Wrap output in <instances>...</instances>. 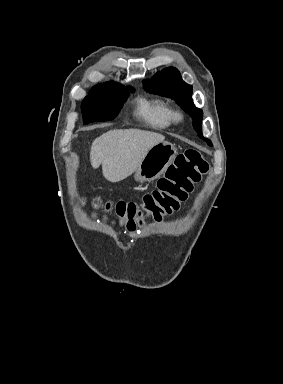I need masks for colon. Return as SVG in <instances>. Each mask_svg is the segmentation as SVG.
Listing matches in <instances>:
<instances>
[{
    "label": "colon",
    "instance_id": "colon-1",
    "mask_svg": "<svg viewBox=\"0 0 283 384\" xmlns=\"http://www.w3.org/2000/svg\"><path fill=\"white\" fill-rule=\"evenodd\" d=\"M208 163L198 149L180 153L155 189L147 192L141 202L118 201L107 203L105 208L133 230L145 216L160 220L176 211L194 184L208 171Z\"/></svg>",
    "mask_w": 283,
    "mask_h": 384
}]
</instances>
